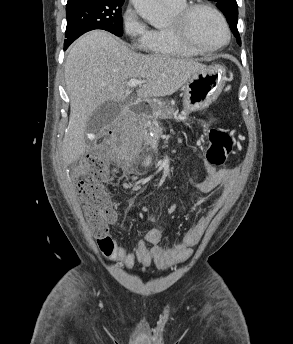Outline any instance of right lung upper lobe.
<instances>
[{
	"label": "right lung upper lobe",
	"instance_id": "right-lung-upper-lobe-1",
	"mask_svg": "<svg viewBox=\"0 0 293 344\" xmlns=\"http://www.w3.org/2000/svg\"><path fill=\"white\" fill-rule=\"evenodd\" d=\"M80 0H68V3L67 4H70V3H75V2H78Z\"/></svg>",
	"mask_w": 293,
	"mask_h": 344
}]
</instances>
